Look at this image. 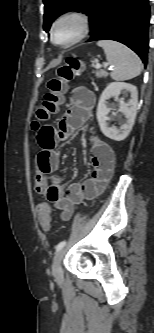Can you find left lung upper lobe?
Segmentation results:
<instances>
[{
	"mask_svg": "<svg viewBox=\"0 0 154 333\" xmlns=\"http://www.w3.org/2000/svg\"><path fill=\"white\" fill-rule=\"evenodd\" d=\"M98 0H43L45 5L43 29L48 32L51 23L61 14L71 10H84L89 13Z\"/></svg>",
	"mask_w": 154,
	"mask_h": 333,
	"instance_id": "obj_1",
	"label": "left lung upper lobe"
}]
</instances>
